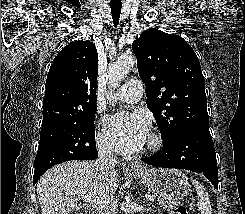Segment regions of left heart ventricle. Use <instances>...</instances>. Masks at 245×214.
Masks as SVG:
<instances>
[{
    "mask_svg": "<svg viewBox=\"0 0 245 214\" xmlns=\"http://www.w3.org/2000/svg\"><path fill=\"white\" fill-rule=\"evenodd\" d=\"M147 143H148V140L146 141V143H145L144 147L147 145Z\"/></svg>",
    "mask_w": 245,
    "mask_h": 214,
    "instance_id": "left-heart-ventricle-1",
    "label": "left heart ventricle"
}]
</instances>
